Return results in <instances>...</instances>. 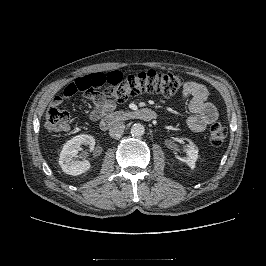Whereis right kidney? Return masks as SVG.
I'll return each mask as SVG.
<instances>
[{
  "mask_svg": "<svg viewBox=\"0 0 266 266\" xmlns=\"http://www.w3.org/2000/svg\"><path fill=\"white\" fill-rule=\"evenodd\" d=\"M81 144L89 145L92 150L95 145V139L91 135L80 134L64 144L60 152L59 165L66 174L77 176L90 169L88 160L77 161L74 159Z\"/></svg>",
  "mask_w": 266,
  "mask_h": 266,
  "instance_id": "obj_1",
  "label": "right kidney"
}]
</instances>
